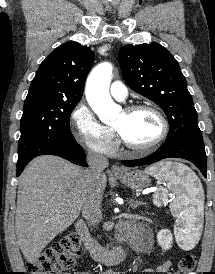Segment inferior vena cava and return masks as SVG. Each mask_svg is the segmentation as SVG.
I'll return each instance as SVG.
<instances>
[{"instance_id":"602c4592","label":"inferior vena cava","mask_w":215,"mask_h":274,"mask_svg":"<svg viewBox=\"0 0 215 274\" xmlns=\"http://www.w3.org/2000/svg\"><path fill=\"white\" fill-rule=\"evenodd\" d=\"M87 191L83 203V216L90 226L96 227L102 220V177L103 170L108 166L107 157L102 154L89 151L87 153Z\"/></svg>"}]
</instances>
